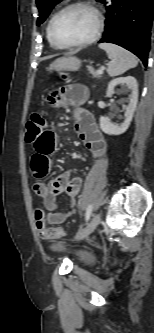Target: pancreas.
Returning a JSON list of instances; mask_svg holds the SVG:
<instances>
[{"label":"pancreas","mask_w":154,"mask_h":333,"mask_svg":"<svg viewBox=\"0 0 154 333\" xmlns=\"http://www.w3.org/2000/svg\"><path fill=\"white\" fill-rule=\"evenodd\" d=\"M90 74H92L94 77H100L102 74H100L97 70L90 68L89 69Z\"/></svg>","instance_id":"1"}]
</instances>
